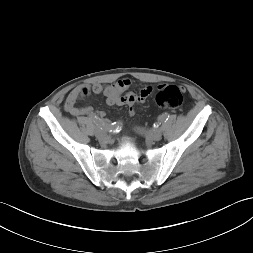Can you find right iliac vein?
Masks as SVG:
<instances>
[{
	"instance_id": "obj_1",
	"label": "right iliac vein",
	"mask_w": 253,
	"mask_h": 253,
	"mask_svg": "<svg viewBox=\"0 0 253 253\" xmlns=\"http://www.w3.org/2000/svg\"><path fill=\"white\" fill-rule=\"evenodd\" d=\"M95 135L98 139H104L107 136V132L106 130L97 127L95 130Z\"/></svg>"
}]
</instances>
